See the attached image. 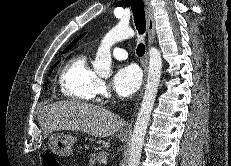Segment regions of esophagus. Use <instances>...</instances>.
<instances>
[{"label":"esophagus","mask_w":231,"mask_h":166,"mask_svg":"<svg viewBox=\"0 0 231 166\" xmlns=\"http://www.w3.org/2000/svg\"><path fill=\"white\" fill-rule=\"evenodd\" d=\"M145 4V13H146V22H147V31H148V43L149 45L153 44L155 40V19L153 15V10L152 6L150 3V0H143ZM143 68H144V80H143V86L140 91V95L138 98V102L136 103V109L138 108L139 101L142 97L144 86H145V81L147 77V72H148V51H146L145 57H144V62H143ZM134 121V118L131 119V123L122 131V133H130L132 129V123Z\"/></svg>","instance_id":"1"}]
</instances>
